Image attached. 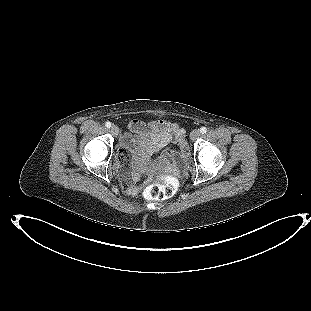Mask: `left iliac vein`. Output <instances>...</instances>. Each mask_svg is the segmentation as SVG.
<instances>
[{
	"label": "left iliac vein",
	"instance_id": "4c4485c4",
	"mask_svg": "<svg viewBox=\"0 0 311 311\" xmlns=\"http://www.w3.org/2000/svg\"><path fill=\"white\" fill-rule=\"evenodd\" d=\"M199 136H200V131L198 129H194L190 134L191 140H196Z\"/></svg>",
	"mask_w": 311,
	"mask_h": 311
}]
</instances>
